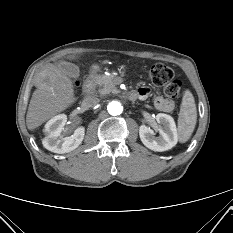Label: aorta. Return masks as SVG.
Instances as JSON below:
<instances>
[{
    "label": "aorta",
    "mask_w": 233,
    "mask_h": 233,
    "mask_svg": "<svg viewBox=\"0 0 233 233\" xmlns=\"http://www.w3.org/2000/svg\"><path fill=\"white\" fill-rule=\"evenodd\" d=\"M107 110L109 114L116 116V115H120L123 112V106L118 101H111L107 105Z\"/></svg>",
    "instance_id": "aorta-1"
}]
</instances>
